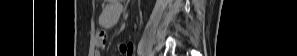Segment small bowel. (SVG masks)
<instances>
[{
    "label": "small bowel",
    "mask_w": 297,
    "mask_h": 56,
    "mask_svg": "<svg viewBox=\"0 0 297 56\" xmlns=\"http://www.w3.org/2000/svg\"><path fill=\"white\" fill-rule=\"evenodd\" d=\"M123 0H110L102 9L99 17L100 24L103 28L109 29L117 24L123 11ZM107 45V34L101 31L97 37V47L99 50H104ZM119 51L123 54L131 55L132 47L127 44H120Z\"/></svg>",
    "instance_id": "small-bowel-1"
}]
</instances>
